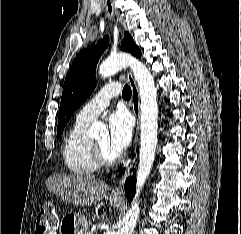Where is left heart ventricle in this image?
Wrapping results in <instances>:
<instances>
[{
	"label": "left heart ventricle",
	"mask_w": 241,
	"mask_h": 234,
	"mask_svg": "<svg viewBox=\"0 0 241 234\" xmlns=\"http://www.w3.org/2000/svg\"><path fill=\"white\" fill-rule=\"evenodd\" d=\"M95 141L104 149L107 156L114 157L117 155L110 147L109 135L107 133L102 134L96 138Z\"/></svg>",
	"instance_id": "obj_1"
}]
</instances>
